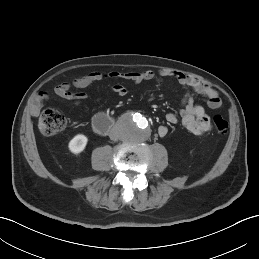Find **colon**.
<instances>
[{"mask_svg": "<svg viewBox=\"0 0 259 259\" xmlns=\"http://www.w3.org/2000/svg\"><path fill=\"white\" fill-rule=\"evenodd\" d=\"M214 128L218 133H225L228 129L227 121L220 115L213 118ZM66 125V118L58 110L47 109L39 118L40 132L45 136H52L62 130Z\"/></svg>", "mask_w": 259, "mask_h": 259, "instance_id": "1", "label": "colon"}]
</instances>
